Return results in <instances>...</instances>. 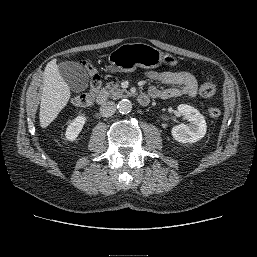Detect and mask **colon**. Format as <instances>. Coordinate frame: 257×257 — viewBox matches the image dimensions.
Segmentation results:
<instances>
[{"label":"colon","instance_id":"colon-1","mask_svg":"<svg viewBox=\"0 0 257 257\" xmlns=\"http://www.w3.org/2000/svg\"><path fill=\"white\" fill-rule=\"evenodd\" d=\"M90 83L87 91L76 95L73 98V103L82 108L89 107L93 104L94 97L101 87V81L97 73L92 67H89ZM217 87L213 82H205L200 87V93L204 97L213 96L216 93ZM212 118L220 116L221 111L218 107H211L208 110Z\"/></svg>","mask_w":257,"mask_h":257}]
</instances>
